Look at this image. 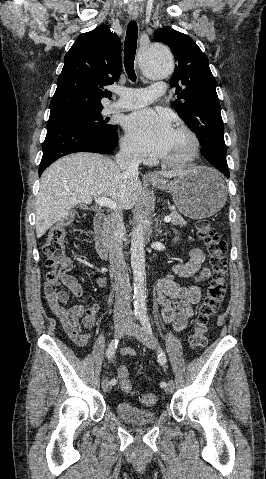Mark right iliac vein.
I'll return each mask as SVG.
<instances>
[{"mask_svg":"<svg viewBox=\"0 0 266 479\" xmlns=\"http://www.w3.org/2000/svg\"><path fill=\"white\" fill-rule=\"evenodd\" d=\"M128 328V323L127 322H118L115 324L114 327V337L115 338H120L123 333L126 331ZM102 389L104 392H108L111 390V384L107 379H104L102 381Z\"/></svg>","mask_w":266,"mask_h":479,"instance_id":"obj_1","label":"right iliac vein"}]
</instances>
